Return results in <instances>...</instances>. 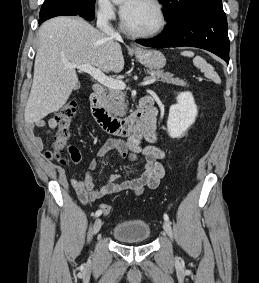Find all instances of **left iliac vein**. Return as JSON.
Returning <instances> with one entry per match:
<instances>
[{
  "label": "left iliac vein",
  "mask_w": 259,
  "mask_h": 283,
  "mask_svg": "<svg viewBox=\"0 0 259 283\" xmlns=\"http://www.w3.org/2000/svg\"><path fill=\"white\" fill-rule=\"evenodd\" d=\"M163 229H164L165 233H166L170 238H172V229H171L170 224H169L167 221H164V222H163Z\"/></svg>",
  "instance_id": "1"
}]
</instances>
